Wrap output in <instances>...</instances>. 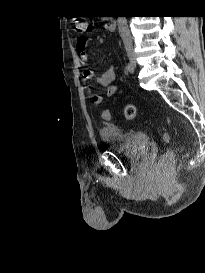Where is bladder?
<instances>
[{"mask_svg": "<svg viewBox=\"0 0 205 273\" xmlns=\"http://www.w3.org/2000/svg\"><path fill=\"white\" fill-rule=\"evenodd\" d=\"M99 134L104 144L112 152L127 159L141 158L150 149V137L144 131H124L117 125L104 124L100 128Z\"/></svg>", "mask_w": 205, "mask_h": 273, "instance_id": "1", "label": "bladder"}]
</instances>
